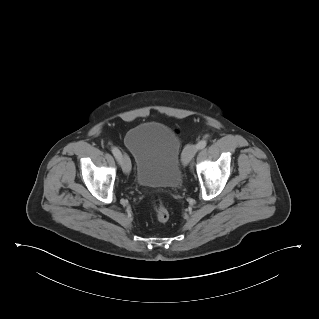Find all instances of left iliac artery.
I'll list each match as a JSON object with an SVG mask.
<instances>
[{
    "instance_id": "obj_1",
    "label": "left iliac artery",
    "mask_w": 319,
    "mask_h": 319,
    "mask_svg": "<svg viewBox=\"0 0 319 319\" xmlns=\"http://www.w3.org/2000/svg\"><path fill=\"white\" fill-rule=\"evenodd\" d=\"M206 145H207L206 140H201V141H199L198 144H197V149L201 150V149L205 148Z\"/></svg>"
}]
</instances>
